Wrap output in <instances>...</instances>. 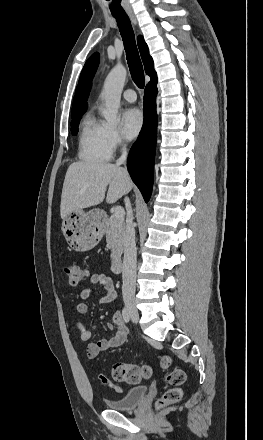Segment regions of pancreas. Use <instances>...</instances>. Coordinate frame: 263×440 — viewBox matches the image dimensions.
<instances>
[{
	"label": "pancreas",
	"mask_w": 263,
	"mask_h": 440,
	"mask_svg": "<svg viewBox=\"0 0 263 440\" xmlns=\"http://www.w3.org/2000/svg\"><path fill=\"white\" fill-rule=\"evenodd\" d=\"M125 222L124 218L111 215L106 224V242L111 248V262L115 264L121 258L124 245Z\"/></svg>",
	"instance_id": "cf45deb5"
}]
</instances>
